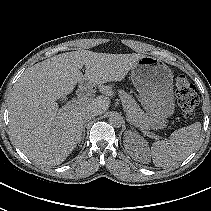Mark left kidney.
Masks as SVG:
<instances>
[{
	"instance_id": "1",
	"label": "left kidney",
	"mask_w": 211,
	"mask_h": 211,
	"mask_svg": "<svg viewBox=\"0 0 211 211\" xmlns=\"http://www.w3.org/2000/svg\"><path fill=\"white\" fill-rule=\"evenodd\" d=\"M123 142L125 150L134 160L141 163L150 162L148 143L137 133L127 131Z\"/></svg>"
}]
</instances>
